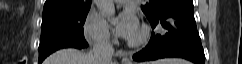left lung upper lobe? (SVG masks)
<instances>
[{
  "mask_svg": "<svg viewBox=\"0 0 242 64\" xmlns=\"http://www.w3.org/2000/svg\"><path fill=\"white\" fill-rule=\"evenodd\" d=\"M181 1L183 0H149L146 5L141 6V9L151 21L166 7Z\"/></svg>",
  "mask_w": 242,
  "mask_h": 64,
  "instance_id": "obj_1",
  "label": "left lung upper lobe"
}]
</instances>
